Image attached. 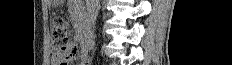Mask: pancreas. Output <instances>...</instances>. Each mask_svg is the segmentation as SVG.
I'll use <instances>...</instances> for the list:
<instances>
[{
  "mask_svg": "<svg viewBox=\"0 0 232 65\" xmlns=\"http://www.w3.org/2000/svg\"><path fill=\"white\" fill-rule=\"evenodd\" d=\"M75 25H76L77 28H79L82 25V22L81 23H77Z\"/></svg>",
  "mask_w": 232,
  "mask_h": 65,
  "instance_id": "cf45deb5",
  "label": "pancreas"
}]
</instances>
